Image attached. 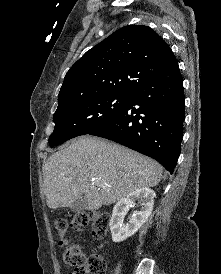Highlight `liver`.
<instances>
[{"label":"liver","instance_id":"obj_1","mask_svg":"<svg viewBox=\"0 0 221 274\" xmlns=\"http://www.w3.org/2000/svg\"><path fill=\"white\" fill-rule=\"evenodd\" d=\"M162 174V167L151 158L107 140L81 136L48 158L43 188L51 209L70 207L84 195L86 209L95 211L140 188L158 185Z\"/></svg>","mask_w":221,"mask_h":274}]
</instances>
